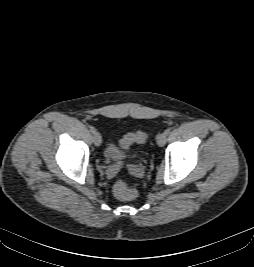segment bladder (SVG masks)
Returning <instances> with one entry per match:
<instances>
[{
  "label": "bladder",
  "mask_w": 254,
  "mask_h": 267,
  "mask_svg": "<svg viewBox=\"0 0 254 267\" xmlns=\"http://www.w3.org/2000/svg\"><path fill=\"white\" fill-rule=\"evenodd\" d=\"M104 155L106 158L113 159V160H117V159H120L122 157V154H121L119 148L114 143H109L106 146V148L104 150Z\"/></svg>",
  "instance_id": "bladder-1"
}]
</instances>
